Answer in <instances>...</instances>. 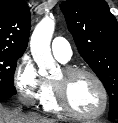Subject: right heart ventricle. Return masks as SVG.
Wrapping results in <instances>:
<instances>
[{
	"mask_svg": "<svg viewBox=\"0 0 118 123\" xmlns=\"http://www.w3.org/2000/svg\"><path fill=\"white\" fill-rule=\"evenodd\" d=\"M40 103L45 111L53 113H59L61 111L54 98L53 89L50 82H47V90Z\"/></svg>",
	"mask_w": 118,
	"mask_h": 123,
	"instance_id": "right-heart-ventricle-1",
	"label": "right heart ventricle"
}]
</instances>
